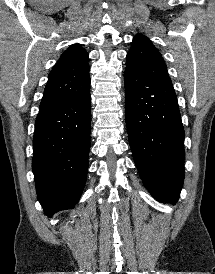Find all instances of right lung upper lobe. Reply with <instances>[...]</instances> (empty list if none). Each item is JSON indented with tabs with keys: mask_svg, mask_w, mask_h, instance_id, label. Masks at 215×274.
Instances as JSON below:
<instances>
[{
	"mask_svg": "<svg viewBox=\"0 0 215 274\" xmlns=\"http://www.w3.org/2000/svg\"><path fill=\"white\" fill-rule=\"evenodd\" d=\"M88 53L80 44L71 45L48 76L39 109L55 106L79 93L90 83Z\"/></svg>",
	"mask_w": 215,
	"mask_h": 274,
	"instance_id": "1",
	"label": "right lung upper lobe"
}]
</instances>
